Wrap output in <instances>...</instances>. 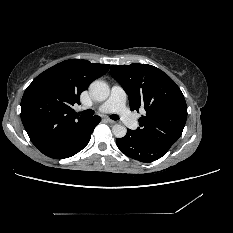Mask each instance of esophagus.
I'll use <instances>...</instances> for the list:
<instances>
[{
    "instance_id": "34e87169",
    "label": "esophagus",
    "mask_w": 233,
    "mask_h": 233,
    "mask_svg": "<svg viewBox=\"0 0 233 233\" xmlns=\"http://www.w3.org/2000/svg\"><path fill=\"white\" fill-rule=\"evenodd\" d=\"M108 123H110V124H114L115 123V121H113V120H111V119H109V118H106L105 119Z\"/></svg>"
}]
</instances>
